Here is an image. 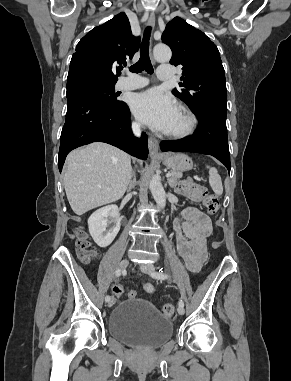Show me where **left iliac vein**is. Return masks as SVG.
I'll return each instance as SVG.
<instances>
[{
  "label": "left iliac vein",
  "mask_w": 291,
  "mask_h": 381,
  "mask_svg": "<svg viewBox=\"0 0 291 381\" xmlns=\"http://www.w3.org/2000/svg\"><path fill=\"white\" fill-rule=\"evenodd\" d=\"M140 270L150 275L151 273L155 272V267L152 264H145L140 266ZM177 311L180 315H183L185 313L184 306L179 305Z\"/></svg>",
  "instance_id": "obj_1"
}]
</instances>
